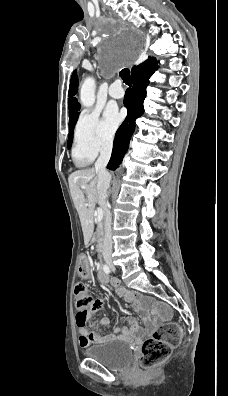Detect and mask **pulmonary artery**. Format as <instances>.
<instances>
[{
  "instance_id": "pulmonary-artery-1",
  "label": "pulmonary artery",
  "mask_w": 228,
  "mask_h": 396,
  "mask_svg": "<svg viewBox=\"0 0 228 396\" xmlns=\"http://www.w3.org/2000/svg\"><path fill=\"white\" fill-rule=\"evenodd\" d=\"M108 93L114 99H120L124 96V90L119 81H115L110 85Z\"/></svg>"
}]
</instances>
